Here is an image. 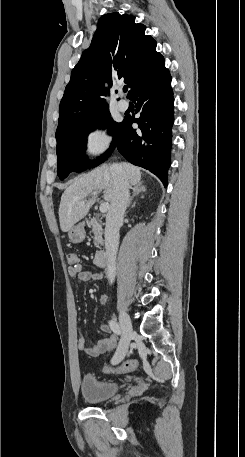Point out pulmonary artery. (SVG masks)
<instances>
[{"instance_id":"e3ab8cb5","label":"pulmonary artery","mask_w":245,"mask_h":457,"mask_svg":"<svg viewBox=\"0 0 245 457\" xmlns=\"http://www.w3.org/2000/svg\"><path fill=\"white\" fill-rule=\"evenodd\" d=\"M117 108L120 110V111H126L128 108H129V103L127 100L125 99H122L120 101H118L117 103Z\"/></svg>"}]
</instances>
